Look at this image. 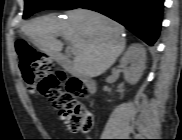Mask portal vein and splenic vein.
Instances as JSON below:
<instances>
[{
  "label": "portal vein and splenic vein",
  "mask_w": 182,
  "mask_h": 140,
  "mask_svg": "<svg viewBox=\"0 0 182 140\" xmlns=\"http://www.w3.org/2000/svg\"><path fill=\"white\" fill-rule=\"evenodd\" d=\"M69 50L71 51V53L73 54V55H77V49H76V47H74V46H70L69 47Z\"/></svg>",
  "instance_id": "obj_1"
}]
</instances>
